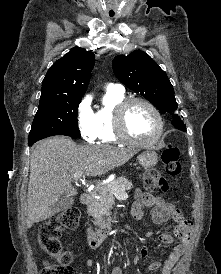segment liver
I'll return each mask as SVG.
<instances>
[{"instance_id":"6515ba94","label":"liver","mask_w":221,"mask_h":274,"mask_svg":"<svg viewBox=\"0 0 221 274\" xmlns=\"http://www.w3.org/2000/svg\"><path fill=\"white\" fill-rule=\"evenodd\" d=\"M137 150L107 145L81 146L65 136L39 141L30 158V176L25 222L27 228L58 211L52 206L64 196H75L73 176L82 171L100 176L124 165Z\"/></svg>"}]
</instances>
